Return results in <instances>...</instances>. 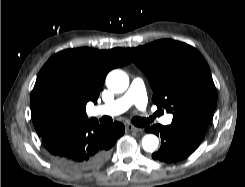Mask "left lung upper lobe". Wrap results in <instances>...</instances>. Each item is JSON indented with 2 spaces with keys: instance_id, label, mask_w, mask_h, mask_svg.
<instances>
[{
  "instance_id": "left-lung-upper-lobe-1",
  "label": "left lung upper lobe",
  "mask_w": 245,
  "mask_h": 187,
  "mask_svg": "<svg viewBox=\"0 0 245 187\" xmlns=\"http://www.w3.org/2000/svg\"><path fill=\"white\" fill-rule=\"evenodd\" d=\"M127 53L148 76L154 104L173 114V124L211 122L217 92L209 66L195 48L165 39L128 48Z\"/></svg>"
}]
</instances>
